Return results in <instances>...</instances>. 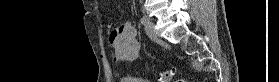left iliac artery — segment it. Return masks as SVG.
I'll use <instances>...</instances> for the list:
<instances>
[{
	"instance_id": "obj_1",
	"label": "left iliac artery",
	"mask_w": 279,
	"mask_h": 82,
	"mask_svg": "<svg viewBox=\"0 0 279 82\" xmlns=\"http://www.w3.org/2000/svg\"><path fill=\"white\" fill-rule=\"evenodd\" d=\"M140 21H141V23H146L149 21V18L147 16H143V17H141Z\"/></svg>"
}]
</instances>
